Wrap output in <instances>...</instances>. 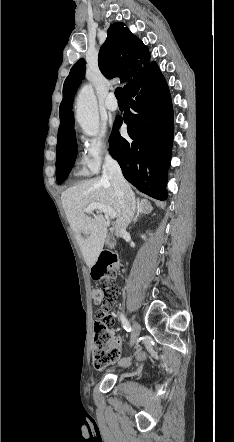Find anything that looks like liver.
Returning <instances> with one entry per match:
<instances>
[{"instance_id":"1","label":"liver","mask_w":234,"mask_h":442,"mask_svg":"<svg viewBox=\"0 0 234 442\" xmlns=\"http://www.w3.org/2000/svg\"><path fill=\"white\" fill-rule=\"evenodd\" d=\"M61 201L84 260L91 268L105 244L107 223L101 214L86 215L85 209L99 202L111 207L118 219L121 216L119 196L109 179L97 177L68 188L62 193Z\"/></svg>"}]
</instances>
